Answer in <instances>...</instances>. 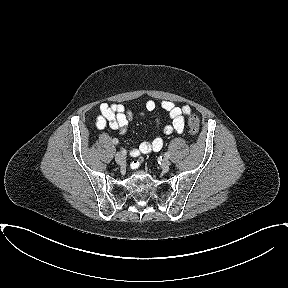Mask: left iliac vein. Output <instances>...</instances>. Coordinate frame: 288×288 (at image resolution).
<instances>
[{"instance_id":"4c4485c4","label":"left iliac vein","mask_w":288,"mask_h":288,"mask_svg":"<svg viewBox=\"0 0 288 288\" xmlns=\"http://www.w3.org/2000/svg\"><path fill=\"white\" fill-rule=\"evenodd\" d=\"M170 166V161L168 158H164L161 162V167L165 170L168 169Z\"/></svg>"}]
</instances>
